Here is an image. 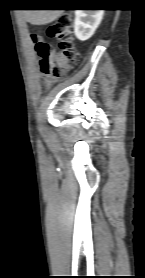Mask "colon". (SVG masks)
Returning a JSON list of instances; mask_svg holds the SVG:
<instances>
[{
    "label": "colon",
    "mask_w": 145,
    "mask_h": 278,
    "mask_svg": "<svg viewBox=\"0 0 145 278\" xmlns=\"http://www.w3.org/2000/svg\"><path fill=\"white\" fill-rule=\"evenodd\" d=\"M71 17L67 14L58 16L55 23L47 29L49 39L58 41L55 46L47 40H36L37 52L41 58L40 70L46 77L64 78L76 59V48L71 37Z\"/></svg>",
    "instance_id": "5ec220e1"
}]
</instances>
